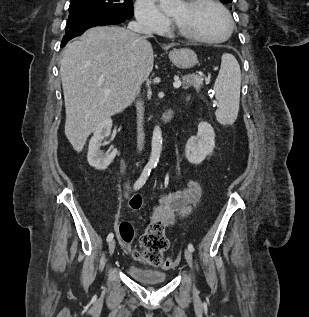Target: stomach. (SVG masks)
<instances>
[{"label":"stomach","instance_id":"stomach-1","mask_svg":"<svg viewBox=\"0 0 309 317\" xmlns=\"http://www.w3.org/2000/svg\"><path fill=\"white\" fill-rule=\"evenodd\" d=\"M169 58L180 69H189L198 63L196 53L189 48L173 49L169 52Z\"/></svg>","mask_w":309,"mask_h":317}]
</instances>
